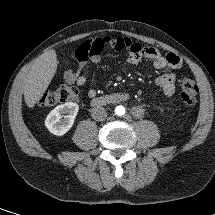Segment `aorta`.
Returning a JSON list of instances; mask_svg holds the SVG:
<instances>
[{"mask_svg":"<svg viewBox=\"0 0 215 215\" xmlns=\"http://www.w3.org/2000/svg\"><path fill=\"white\" fill-rule=\"evenodd\" d=\"M115 113L118 116H123L125 114V108L123 106H117L115 108Z\"/></svg>","mask_w":215,"mask_h":215,"instance_id":"obj_1","label":"aorta"}]
</instances>
